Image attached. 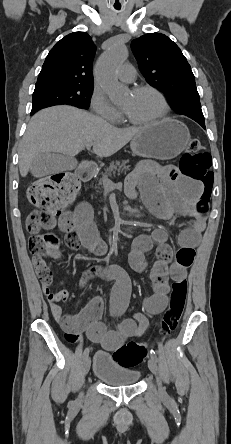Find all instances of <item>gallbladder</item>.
Returning <instances> with one entry per match:
<instances>
[{
	"label": "gallbladder",
	"mask_w": 231,
	"mask_h": 444,
	"mask_svg": "<svg viewBox=\"0 0 231 444\" xmlns=\"http://www.w3.org/2000/svg\"><path fill=\"white\" fill-rule=\"evenodd\" d=\"M69 161L65 155L45 152L33 159L30 170L34 177H43L69 169Z\"/></svg>",
	"instance_id": "1"
}]
</instances>
